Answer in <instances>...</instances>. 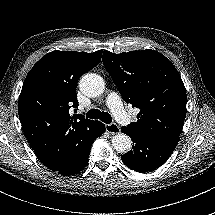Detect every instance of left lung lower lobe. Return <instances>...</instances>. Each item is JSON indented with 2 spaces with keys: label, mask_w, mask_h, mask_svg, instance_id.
<instances>
[{
  "label": "left lung lower lobe",
  "mask_w": 215,
  "mask_h": 215,
  "mask_svg": "<svg viewBox=\"0 0 215 215\" xmlns=\"http://www.w3.org/2000/svg\"><path fill=\"white\" fill-rule=\"evenodd\" d=\"M133 141L132 150L122 155L123 163L137 172L155 170L166 162L178 144L179 137L151 136L134 133L122 127Z\"/></svg>",
  "instance_id": "obj_1"
}]
</instances>
